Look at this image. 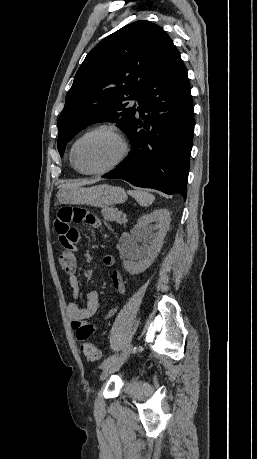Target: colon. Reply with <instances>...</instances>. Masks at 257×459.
Masks as SVG:
<instances>
[{
	"label": "colon",
	"mask_w": 257,
	"mask_h": 459,
	"mask_svg": "<svg viewBox=\"0 0 257 459\" xmlns=\"http://www.w3.org/2000/svg\"><path fill=\"white\" fill-rule=\"evenodd\" d=\"M59 211V210H58ZM62 238V237H61ZM59 266L66 272H73L76 268L75 251H62L58 257ZM84 356L91 361L99 360L100 353L97 347L90 342L83 341L80 345Z\"/></svg>",
	"instance_id": "colon-1"
}]
</instances>
